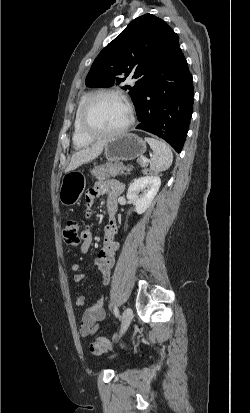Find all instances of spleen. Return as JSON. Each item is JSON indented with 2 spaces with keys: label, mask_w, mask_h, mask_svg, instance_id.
I'll use <instances>...</instances> for the list:
<instances>
[{
  "label": "spleen",
  "mask_w": 250,
  "mask_h": 413,
  "mask_svg": "<svg viewBox=\"0 0 250 413\" xmlns=\"http://www.w3.org/2000/svg\"><path fill=\"white\" fill-rule=\"evenodd\" d=\"M150 148L153 151V155L150 159V168L153 172H162L167 170L173 161V153L169 145L163 141H159L153 138H145Z\"/></svg>",
  "instance_id": "3e777b00"
}]
</instances>
